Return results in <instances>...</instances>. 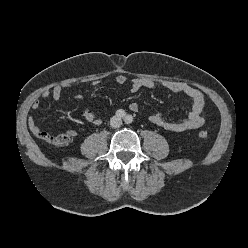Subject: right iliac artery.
Instances as JSON below:
<instances>
[{"instance_id":"obj_1","label":"right iliac artery","mask_w":248,"mask_h":248,"mask_svg":"<svg viewBox=\"0 0 248 248\" xmlns=\"http://www.w3.org/2000/svg\"><path fill=\"white\" fill-rule=\"evenodd\" d=\"M125 115H126V112L124 110H122V109H119V110L116 111V116L118 118H124Z\"/></svg>"}]
</instances>
